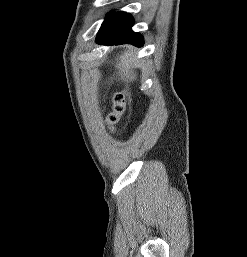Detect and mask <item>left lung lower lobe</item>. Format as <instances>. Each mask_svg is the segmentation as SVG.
I'll return each instance as SVG.
<instances>
[{"mask_svg": "<svg viewBox=\"0 0 247 257\" xmlns=\"http://www.w3.org/2000/svg\"><path fill=\"white\" fill-rule=\"evenodd\" d=\"M133 18L125 12L109 14L103 22L97 36L98 44H133L142 46L143 37L131 30Z\"/></svg>", "mask_w": 247, "mask_h": 257, "instance_id": "left-lung-lower-lobe-1", "label": "left lung lower lobe"}]
</instances>
